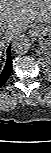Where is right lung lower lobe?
Segmentation results:
<instances>
[{"instance_id":"98d812e1","label":"right lung lower lobe","mask_w":51,"mask_h":153,"mask_svg":"<svg viewBox=\"0 0 51 153\" xmlns=\"http://www.w3.org/2000/svg\"><path fill=\"white\" fill-rule=\"evenodd\" d=\"M12 56H11V47L7 49V61L3 71L0 73V87L8 80L12 72Z\"/></svg>"}]
</instances>
